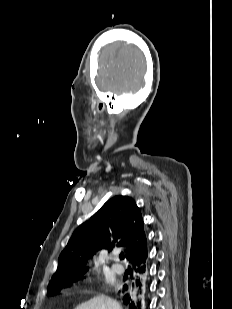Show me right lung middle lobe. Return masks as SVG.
Listing matches in <instances>:
<instances>
[{
	"label": "right lung middle lobe",
	"instance_id": "1",
	"mask_svg": "<svg viewBox=\"0 0 232 309\" xmlns=\"http://www.w3.org/2000/svg\"><path fill=\"white\" fill-rule=\"evenodd\" d=\"M63 283H66V282H57V283L51 284L50 291L48 290V294L49 295H56V294H58L59 291L63 288Z\"/></svg>",
	"mask_w": 232,
	"mask_h": 309
}]
</instances>
